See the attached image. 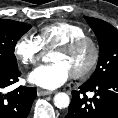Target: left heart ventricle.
<instances>
[{
    "instance_id": "left-heart-ventricle-1",
    "label": "left heart ventricle",
    "mask_w": 118,
    "mask_h": 118,
    "mask_svg": "<svg viewBox=\"0 0 118 118\" xmlns=\"http://www.w3.org/2000/svg\"><path fill=\"white\" fill-rule=\"evenodd\" d=\"M91 55L92 52L89 46L82 47L71 54L55 51L51 56V62L62 63L71 74L82 71L88 65Z\"/></svg>"
}]
</instances>
